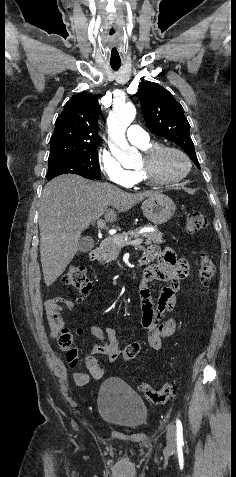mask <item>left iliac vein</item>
I'll list each match as a JSON object with an SVG mask.
<instances>
[{
	"label": "left iliac vein",
	"instance_id": "4c4485c4",
	"mask_svg": "<svg viewBox=\"0 0 236 477\" xmlns=\"http://www.w3.org/2000/svg\"><path fill=\"white\" fill-rule=\"evenodd\" d=\"M167 444L168 447L173 449L176 446V429L174 426H170L167 431Z\"/></svg>",
	"mask_w": 236,
	"mask_h": 477
}]
</instances>
